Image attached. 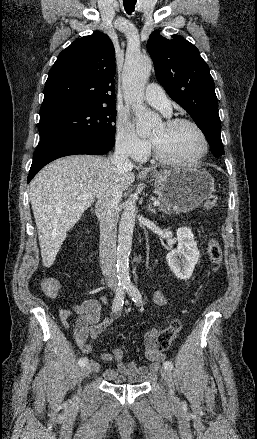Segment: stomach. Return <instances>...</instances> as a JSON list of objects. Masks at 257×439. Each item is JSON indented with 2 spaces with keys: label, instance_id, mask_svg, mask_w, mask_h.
Wrapping results in <instances>:
<instances>
[{
  "label": "stomach",
  "instance_id": "stomach-1",
  "mask_svg": "<svg viewBox=\"0 0 257 439\" xmlns=\"http://www.w3.org/2000/svg\"><path fill=\"white\" fill-rule=\"evenodd\" d=\"M152 177L155 192L179 213L194 210L214 192V178L201 167L154 172Z\"/></svg>",
  "mask_w": 257,
  "mask_h": 439
}]
</instances>
